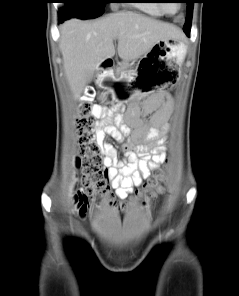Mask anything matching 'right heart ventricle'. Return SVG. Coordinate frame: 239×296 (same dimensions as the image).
Returning <instances> with one entry per match:
<instances>
[{
	"mask_svg": "<svg viewBox=\"0 0 239 296\" xmlns=\"http://www.w3.org/2000/svg\"><path fill=\"white\" fill-rule=\"evenodd\" d=\"M156 2V0H142V3H138L136 6L147 14L161 16L163 15V11Z\"/></svg>",
	"mask_w": 239,
	"mask_h": 296,
	"instance_id": "obj_1",
	"label": "right heart ventricle"
}]
</instances>
